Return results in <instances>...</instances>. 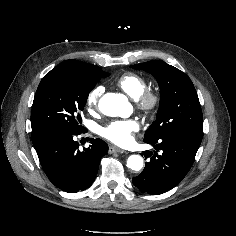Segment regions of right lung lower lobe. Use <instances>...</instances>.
I'll return each instance as SVG.
<instances>
[{
  "label": "right lung lower lobe",
  "mask_w": 236,
  "mask_h": 236,
  "mask_svg": "<svg viewBox=\"0 0 236 236\" xmlns=\"http://www.w3.org/2000/svg\"><path fill=\"white\" fill-rule=\"evenodd\" d=\"M79 134L55 130L32 132L33 145L48 179L68 193L85 190L92 184L100 160L108 152V145L98 138L91 139V145L80 151L74 140Z\"/></svg>",
  "instance_id": "right-lung-lower-lobe-1"
}]
</instances>
